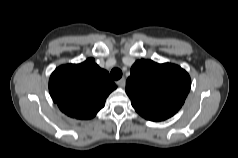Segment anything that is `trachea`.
I'll return each mask as SVG.
<instances>
[{
	"label": "trachea",
	"instance_id": "trachea-1",
	"mask_svg": "<svg viewBox=\"0 0 238 158\" xmlns=\"http://www.w3.org/2000/svg\"><path fill=\"white\" fill-rule=\"evenodd\" d=\"M111 76L113 79L118 80L122 77V71L119 68H114L111 71Z\"/></svg>",
	"mask_w": 238,
	"mask_h": 158
}]
</instances>
